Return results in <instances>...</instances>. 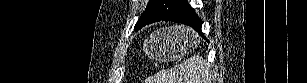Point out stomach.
I'll list each match as a JSON object with an SVG mask.
<instances>
[{
    "instance_id": "0dacf381",
    "label": "stomach",
    "mask_w": 307,
    "mask_h": 83,
    "mask_svg": "<svg viewBox=\"0 0 307 83\" xmlns=\"http://www.w3.org/2000/svg\"><path fill=\"white\" fill-rule=\"evenodd\" d=\"M199 38L193 31L172 26L155 31L144 42V51L157 61H169L189 53L198 46Z\"/></svg>"
}]
</instances>
